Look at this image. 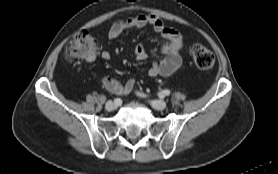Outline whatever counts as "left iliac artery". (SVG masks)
<instances>
[{
	"label": "left iliac artery",
	"instance_id": "1",
	"mask_svg": "<svg viewBox=\"0 0 278 174\" xmlns=\"http://www.w3.org/2000/svg\"><path fill=\"white\" fill-rule=\"evenodd\" d=\"M169 95H170V90L168 89H165L159 93L160 97L169 96Z\"/></svg>",
	"mask_w": 278,
	"mask_h": 174
}]
</instances>
